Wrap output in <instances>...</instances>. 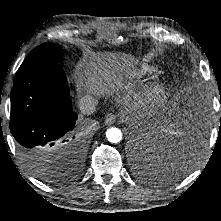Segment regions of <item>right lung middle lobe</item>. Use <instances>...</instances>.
Returning a JSON list of instances; mask_svg holds the SVG:
<instances>
[{"label":"right lung middle lobe","mask_w":221,"mask_h":221,"mask_svg":"<svg viewBox=\"0 0 221 221\" xmlns=\"http://www.w3.org/2000/svg\"><path fill=\"white\" fill-rule=\"evenodd\" d=\"M62 51L53 43H43L34 48L18 69L14 82L40 68L58 64Z\"/></svg>","instance_id":"dd1d6c3e"}]
</instances>
